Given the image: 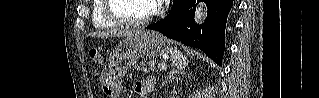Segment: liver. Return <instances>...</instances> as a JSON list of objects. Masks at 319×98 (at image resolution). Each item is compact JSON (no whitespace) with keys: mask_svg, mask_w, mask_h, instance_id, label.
Returning a JSON list of instances; mask_svg holds the SVG:
<instances>
[{"mask_svg":"<svg viewBox=\"0 0 319 98\" xmlns=\"http://www.w3.org/2000/svg\"><path fill=\"white\" fill-rule=\"evenodd\" d=\"M139 31H132V30H111V31H105V32H98L92 34V36L101 37V38H108V37H126L133 33H136Z\"/></svg>","mask_w":319,"mask_h":98,"instance_id":"1","label":"liver"}]
</instances>
